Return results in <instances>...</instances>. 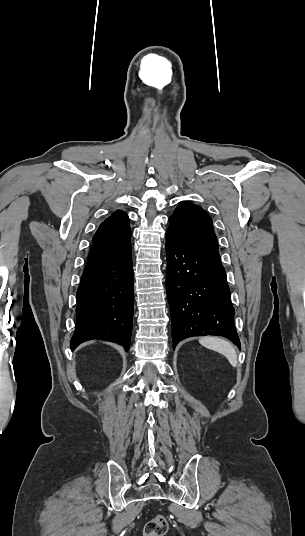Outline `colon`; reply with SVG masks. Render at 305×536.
<instances>
[{
	"mask_svg": "<svg viewBox=\"0 0 305 536\" xmlns=\"http://www.w3.org/2000/svg\"><path fill=\"white\" fill-rule=\"evenodd\" d=\"M167 530V519L164 516L158 515L146 523L142 536H165Z\"/></svg>",
	"mask_w": 305,
	"mask_h": 536,
	"instance_id": "1",
	"label": "colon"
}]
</instances>
